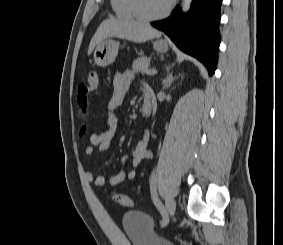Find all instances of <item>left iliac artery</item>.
Returning a JSON list of instances; mask_svg holds the SVG:
<instances>
[{
    "label": "left iliac artery",
    "instance_id": "44dca946",
    "mask_svg": "<svg viewBox=\"0 0 283 245\" xmlns=\"http://www.w3.org/2000/svg\"><path fill=\"white\" fill-rule=\"evenodd\" d=\"M157 180H158L157 174H153L150 179V189H151V196H152L153 202L163 217L161 221V226H163L165 224V219H166V210L164 206L162 205V203L160 202L158 195H157Z\"/></svg>",
    "mask_w": 283,
    "mask_h": 245
}]
</instances>
